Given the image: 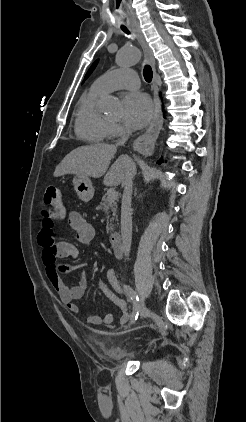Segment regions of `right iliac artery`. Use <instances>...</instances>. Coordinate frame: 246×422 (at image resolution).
I'll return each instance as SVG.
<instances>
[{
  "instance_id": "right-iliac-artery-1",
  "label": "right iliac artery",
  "mask_w": 246,
  "mask_h": 422,
  "mask_svg": "<svg viewBox=\"0 0 246 422\" xmlns=\"http://www.w3.org/2000/svg\"><path fill=\"white\" fill-rule=\"evenodd\" d=\"M123 291L125 294H127L130 297L132 301L133 311L131 313V323H134L137 320L138 315H139V305H138L139 298L128 285L123 286Z\"/></svg>"
}]
</instances>
